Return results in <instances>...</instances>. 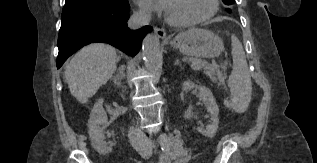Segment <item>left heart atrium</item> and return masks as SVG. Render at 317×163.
<instances>
[{
    "instance_id": "obj_1",
    "label": "left heart atrium",
    "mask_w": 317,
    "mask_h": 163,
    "mask_svg": "<svg viewBox=\"0 0 317 163\" xmlns=\"http://www.w3.org/2000/svg\"><path fill=\"white\" fill-rule=\"evenodd\" d=\"M169 0H139V2L148 8L156 10L158 12H165L168 6Z\"/></svg>"
}]
</instances>
